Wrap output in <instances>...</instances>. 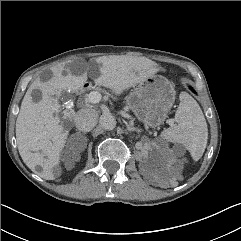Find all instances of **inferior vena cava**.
Listing matches in <instances>:
<instances>
[{
  "label": "inferior vena cava",
  "instance_id": "602c4592",
  "mask_svg": "<svg viewBox=\"0 0 241 241\" xmlns=\"http://www.w3.org/2000/svg\"><path fill=\"white\" fill-rule=\"evenodd\" d=\"M97 113L94 109H83L74 116V123L78 130L82 132L91 131L96 125Z\"/></svg>",
  "mask_w": 241,
  "mask_h": 241
}]
</instances>
